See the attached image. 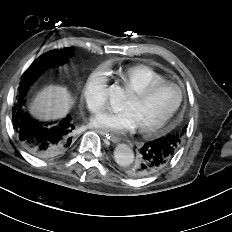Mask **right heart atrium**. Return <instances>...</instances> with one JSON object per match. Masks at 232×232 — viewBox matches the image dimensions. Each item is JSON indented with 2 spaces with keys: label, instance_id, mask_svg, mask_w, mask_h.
<instances>
[{
  "label": "right heart atrium",
  "instance_id": "right-heart-atrium-1",
  "mask_svg": "<svg viewBox=\"0 0 232 232\" xmlns=\"http://www.w3.org/2000/svg\"><path fill=\"white\" fill-rule=\"evenodd\" d=\"M107 72L104 68L94 70L87 78L82 97L92 112L105 107L108 99Z\"/></svg>",
  "mask_w": 232,
  "mask_h": 232
}]
</instances>
